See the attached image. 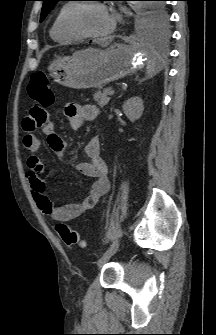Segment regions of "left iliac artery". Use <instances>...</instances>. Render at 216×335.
Listing matches in <instances>:
<instances>
[{"instance_id": "obj_1", "label": "left iliac artery", "mask_w": 216, "mask_h": 335, "mask_svg": "<svg viewBox=\"0 0 216 335\" xmlns=\"http://www.w3.org/2000/svg\"><path fill=\"white\" fill-rule=\"evenodd\" d=\"M119 247V243H118V240H114L110 245L109 247L103 252V255H106V254H113L117 251Z\"/></svg>"}]
</instances>
